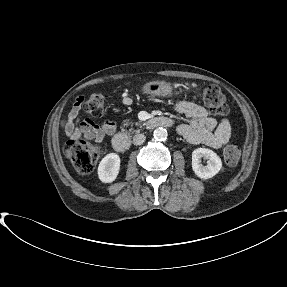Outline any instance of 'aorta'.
<instances>
[{"label":"aorta","mask_w":287,"mask_h":287,"mask_svg":"<svg viewBox=\"0 0 287 287\" xmlns=\"http://www.w3.org/2000/svg\"><path fill=\"white\" fill-rule=\"evenodd\" d=\"M154 138L158 141L166 140L168 133L167 130L163 127H158L153 132Z\"/></svg>","instance_id":"762f6f07"}]
</instances>
